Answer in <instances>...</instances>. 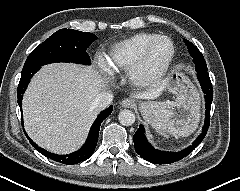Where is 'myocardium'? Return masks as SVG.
I'll use <instances>...</instances> for the list:
<instances>
[{
    "instance_id": "myocardium-1",
    "label": "myocardium",
    "mask_w": 240,
    "mask_h": 191,
    "mask_svg": "<svg viewBox=\"0 0 240 191\" xmlns=\"http://www.w3.org/2000/svg\"><path fill=\"white\" fill-rule=\"evenodd\" d=\"M166 40L171 45V53L165 63L155 72L147 73L146 68L150 54L154 47L160 42ZM176 55V47L173 40L166 35H158L145 47L137 61L127 71L128 79L132 84L139 87L152 86L159 83L170 69Z\"/></svg>"
}]
</instances>
